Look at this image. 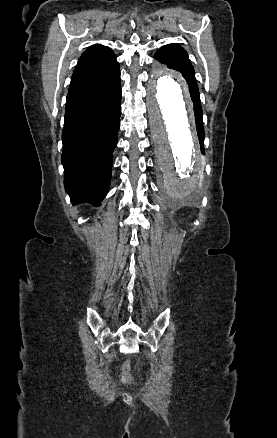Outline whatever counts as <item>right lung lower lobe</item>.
Segmentation results:
<instances>
[{
	"label": "right lung lower lobe",
	"instance_id": "1",
	"mask_svg": "<svg viewBox=\"0 0 277 438\" xmlns=\"http://www.w3.org/2000/svg\"><path fill=\"white\" fill-rule=\"evenodd\" d=\"M121 115L119 68L70 89L62 133L64 185L73 204L100 205L111 179Z\"/></svg>",
	"mask_w": 277,
	"mask_h": 438
}]
</instances>
